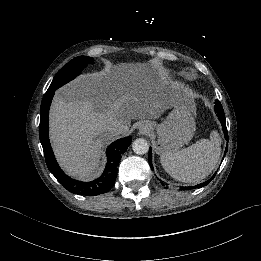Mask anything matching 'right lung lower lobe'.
<instances>
[{
    "label": "right lung lower lobe",
    "instance_id": "1",
    "mask_svg": "<svg viewBox=\"0 0 261 261\" xmlns=\"http://www.w3.org/2000/svg\"><path fill=\"white\" fill-rule=\"evenodd\" d=\"M54 96V91L45 94L40 108L39 138L43 147L44 156L49 171L68 191L78 195L95 196L107 193L114 185L117 177V167L122 154L130 146L132 137L119 139L107 148V164L100 177L84 182L66 175L59 167L53 154L49 141V108Z\"/></svg>",
    "mask_w": 261,
    "mask_h": 261
}]
</instances>
